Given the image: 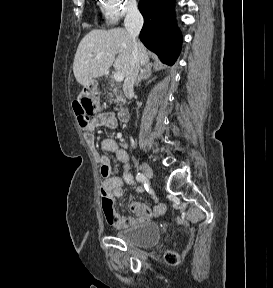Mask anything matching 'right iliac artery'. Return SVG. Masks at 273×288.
I'll return each instance as SVG.
<instances>
[{"mask_svg": "<svg viewBox=\"0 0 273 288\" xmlns=\"http://www.w3.org/2000/svg\"><path fill=\"white\" fill-rule=\"evenodd\" d=\"M145 176L142 174V173H138L136 175V180L139 181V182H144L145 181Z\"/></svg>", "mask_w": 273, "mask_h": 288, "instance_id": "obj_1", "label": "right iliac artery"}]
</instances>
